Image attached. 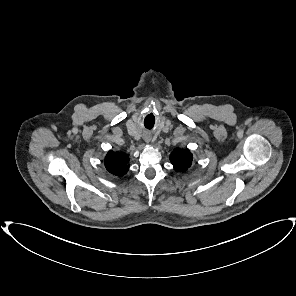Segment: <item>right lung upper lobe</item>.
Wrapping results in <instances>:
<instances>
[{
    "mask_svg": "<svg viewBox=\"0 0 296 296\" xmlns=\"http://www.w3.org/2000/svg\"><path fill=\"white\" fill-rule=\"evenodd\" d=\"M129 156L121 152L109 151L105 157L106 169L114 175H124L127 173Z\"/></svg>",
    "mask_w": 296,
    "mask_h": 296,
    "instance_id": "1",
    "label": "right lung upper lobe"
}]
</instances>
